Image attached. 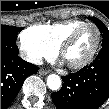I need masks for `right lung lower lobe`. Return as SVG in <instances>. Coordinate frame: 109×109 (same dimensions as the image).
<instances>
[{
  "label": "right lung lower lobe",
  "instance_id": "right-lung-lower-lobe-1",
  "mask_svg": "<svg viewBox=\"0 0 109 109\" xmlns=\"http://www.w3.org/2000/svg\"><path fill=\"white\" fill-rule=\"evenodd\" d=\"M16 45L1 41V109H6L20 91L24 80L38 67L18 57Z\"/></svg>",
  "mask_w": 109,
  "mask_h": 109
}]
</instances>
